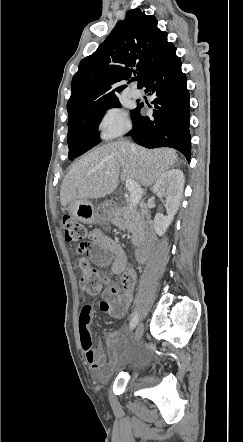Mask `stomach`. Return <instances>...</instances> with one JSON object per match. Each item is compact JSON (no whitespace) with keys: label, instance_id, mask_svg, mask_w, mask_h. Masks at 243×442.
Masks as SVG:
<instances>
[{"label":"stomach","instance_id":"0dacf381","mask_svg":"<svg viewBox=\"0 0 243 442\" xmlns=\"http://www.w3.org/2000/svg\"><path fill=\"white\" fill-rule=\"evenodd\" d=\"M67 210L71 216L83 223H96L107 218L106 206L102 207V212L95 208L93 203L86 200H74L69 203Z\"/></svg>","mask_w":243,"mask_h":442}]
</instances>
